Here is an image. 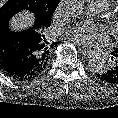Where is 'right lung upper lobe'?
I'll return each mask as SVG.
<instances>
[{"mask_svg": "<svg viewBox=\"0 0 118 118\" xmlns=\"http://www.w3.org/2000/svg\"><path fill=\"white\" fill-rule=\"evenodd\" d=\"M0 26H5V25L2 24ZM49 26L50 24H47L44 26L35 27L34 29H29L31 31V36L33 37V39L37 44L38 51L36 56L35 67L38 73H41L46 68L48 64V59L50 57L49 56L50 45L49 42L46 41L45 35H43L44 30ZM54 44L55 43H53L51 47Z\"/></svg>", "mask_w": 118, "mask_h": 118, "instance_id": "cb5924a9", "label": "right lung upper lobe"}]
</instances>
